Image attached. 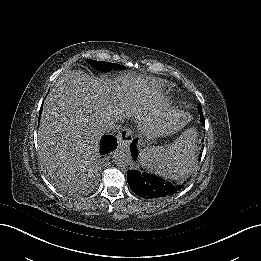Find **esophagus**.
<instances>
[{"label": "esophagus", "mask_w": 261, "mask_h": 261, "mask_svg": "<svg viewBox=\"0 0 261 261\" xmlns=\"http://www.w3.org/2000/svg\"><path fill=\"white\" fill-rule=\"evenodd\" d=\"M132 141V131L124 129L118 135V147L122 150H127Z\"/></svg>", "instance_id": "esophagus-1"}]
</instances>
